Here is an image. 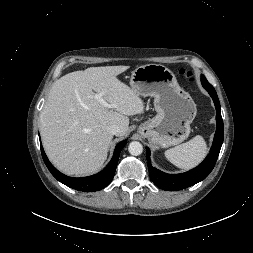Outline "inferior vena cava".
<instances>
[{
	"label": "inferior vena cava",
	"instance_id": "inferior-vena-cava-1",
	"mask_svg": "<svg viewBox=\"0 0 253 253\" xmlns=\"http://www.w3.org/2000/svg\"><path fill=\"white\" fill-rule=\"evenodd\" d=\"M108 132L112 135H117L120 131V128L118 125H110L108 128H107Z\"/></svg>",
	"mask_w": 253,
	"mask_h": 253
}]
</instances>
